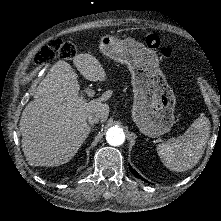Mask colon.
Instances as JSON below:
<instances>
[{
  "label": "colon",
  "mask_w": 221,
  "mask_h": 221,
  "mask_svg": "<svg viewBox=\"0 0 221 221\" xmlns=\"http://www.w3.org/2000/svg\"><path fill=\"white\" fill-rule=\"evenodd\" d=\"M145 44L147 47L158 50L164 58L170 57V50L162 46L161 40L155 35H149ZM76 47L70 42L55 40L41 47L33 55L31 66L38 67L53 61L57 56L63 59H70L76 54Z\"/></svg>",
  "instance_id": "obj_1"
}]
</instances>
